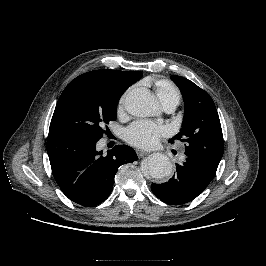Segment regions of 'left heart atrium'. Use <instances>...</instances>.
Here are the masks:
<instances>
[{
  "label": "left heart atrium",
  "mask_w": 266,
  "mask_h": 266,
  "mask_svg": "<svg viewBox=\"0 0 266 266\" xmlns=\"http://www.w3.org/2000/svg\"><path fill=\"white\" fill-rule=\"evenodd\" d=\"M168 129L161 124L149 120H138L125 129L126 141L139 148H151L156 145Z\"/></svg>",
  "instance_id": "obj_1"
}]
</instances>
